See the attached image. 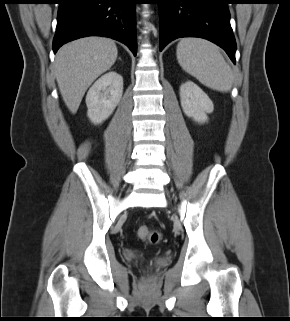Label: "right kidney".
Here are the masks:
<instances>
[{"label": "right kidney", "instance_id": "obj_1", "mask_svg": "<svg viewBox=\"0 0 290 321\" xmlns=\"http://www.w3.org/2000/svg\"><path fill=\"white\" fill-rule=\"evenodd\" d=\"M123 94V78L115 71L101 76L86 95L87 116L95 125L113 113Z\"/></svg>", "mask_w": 290, "mask_h": 321}]
</instances>
